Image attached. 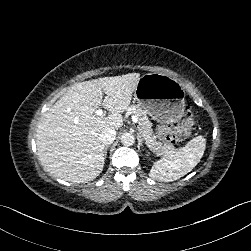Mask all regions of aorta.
I'll list each match as a JSON object with an SVG mask.
<instances>
[{
    "label": "aorta",
    "mask_w": 251,
    "mask_h": 251,
    "mask_svg": "<svg viewBox=\"0 0 251 251\" xmlns=\"http://www.w3.org/2000/svg\"><path fill=\"white\" fill-rule=\"evenodd\" d=\"M135 141V137L132 133L130 132H124L121 135V142L124 146H130L133 145Z\"/></svg>",
    "instance_id": "1"
}]
</instances>
